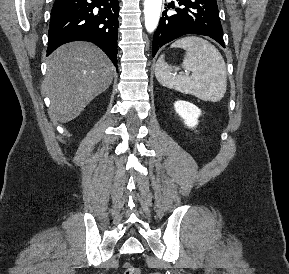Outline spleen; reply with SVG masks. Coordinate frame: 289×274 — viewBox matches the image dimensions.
Segmentation results:
<instances>
[{
  "mask_svg": "<svg viewBox=\"0 0 289 274\" xmlns=\"http://www.w3.org/2000/svg\"><path fill=\"white\" fill-rule=\"evenodd\" d=\"M171 48L186 51L182 68L191 72L176 75L179 67L169 66L161 55L155 66V76L160 84L204 101L218 102L226 93L227 72L224 59L210 42L196 36L176 40Z\"/></svg>",
  "mask_w": 289,
  "mask_h": 274,
  "instance_id": "3e777b00",
  "label": "spleen"
}]
</instances>
